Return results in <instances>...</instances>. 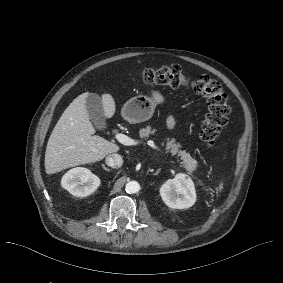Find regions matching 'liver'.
<instances>
[{
	"instance_id": "1",
	"label": "liver",
	"mask_w": 283,
	"mask_h": 283,
	"mask_svg": "<svg viewBox=\"0 0 283 283\" xmlns=\"http://www.w3.org/2000/svg\"><path fill=\"white\" fill-rule=\"evenodd\" d=\"M85 92L75 98L65 109L54 127L45 152V170L54 174L63 169L101 161L106 155L115 153L119 146L94 135L95 129L86 109ZM106 118L115 113V101L110 94L102 95Z\"/></svg>"
}]
</instances>
